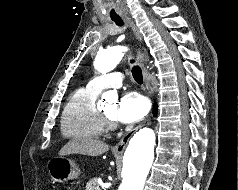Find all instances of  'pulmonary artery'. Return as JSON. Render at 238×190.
I'll return each mask as SVG.
<instances>
[{"label": "pulmonary artery", "instance_id": "pulmonary-artery-1", "mask_svg": "<svg viewBox=\"0 0 238 190\" xmlns=\"http://www.w3.org/2000/svg\"><path fill=\"white\" fill-rule=\"evenodd\" d=\"M122 84V74L119 72H112L92 79L87 86L100 92L105 88H120Z\"/></svg>", "mask_w": 238, "mask_h": 190}]
</instances>
